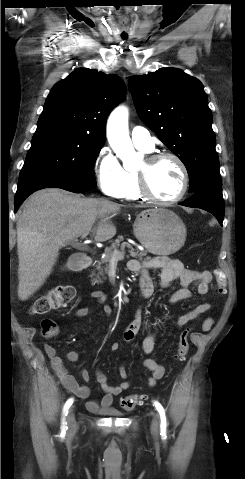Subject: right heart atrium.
Here are the masks:
<instances>
[{"label": "right heart atrium", "mask_w": 245, "mask_h": 479, "mask_svg": "<svg viewBox=\"0 0 245 479\" xmlns=\"http://www.w3.org/2000/svg\"><path fill=\"white\" fill-rule=\"evenodd\" d=\"M95 170L101 191L109 197H119L125 184V170L111 150L100 153Z\"/></svg>", "instance_id": "d8ad5b80"}]
</instances>
